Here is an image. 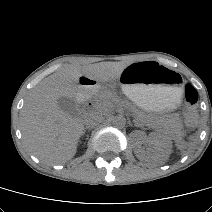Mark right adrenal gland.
Wrapping results in <instances>:
<instances>
[{
	"mask_svg": "<svg viewBox=\"0 0 212 212\" xmlns=\"http://www.w3.org/2000/svg\"><path fill=\"white\" fill-rule=\"evenodd\" d=\"M87 129H90V128H88V127L84 128L83 135L85 134Z\"/></svg>",
	"mask_w": 212,
	"mask_h": 212,
	"instance_id": "1",
	"label": "right adrenal gland"
}]
</instances>
